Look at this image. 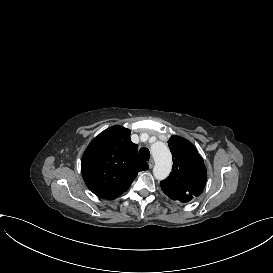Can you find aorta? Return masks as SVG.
Masks as SVG:
<instances>
[{"label":"aorta","mask_w":273,"mask_h":273,"mask_svg":"<svg viewBox=\"0 0 273 273\" xmlns=\"http://www.w3.org/2000/svg\"><path fill=\"white\" fill-rule=\"evenodd\" d=\"M151 153L155 161L153 174L157 180L169 176L172 169V156L169 148L163 142H155L151 146Z\"/></svg>","instance_id":"obj_1"}]
</instances>
